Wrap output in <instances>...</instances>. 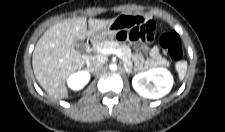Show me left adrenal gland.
<instances>
[{"label":"left adrenal gland","mask_w":225,"mask_h":132,"mask_svg":"<svg viewBox=\"0 0 225 132\" xmlns=\"http://www.w3.org/2000/svg\"><path fill=\"white\" fill-rule=\"evenodd\" d=\"M124 67H125L126 73H128V74L132 73V70L130 68H128L127 66H124Z\"/></svg>","instance_id":"left-adrenal-gland-1"}]
</instances>
